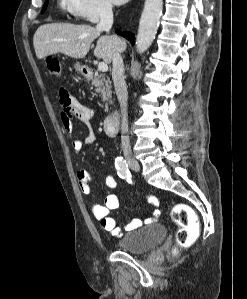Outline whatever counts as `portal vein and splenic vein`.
Returning <instances> with one entry per match:
<instances>
[{"instance_id":"1","label":"portal vein and splenic vein","mask_w":247,"mask_h":299,"mask_svg":"<svg viewBox=\"0 0 247 299\" xmlns=\"http://www.w3.org/2000/svg\"><path fill=\"white\" fill-rule=\"evenodd\" d=\"M98 70L101 72H106L108 70V65L105 62H100L98 64Z\"/></svg>"}]
</instances>
